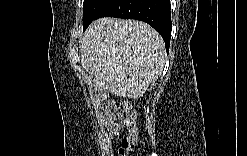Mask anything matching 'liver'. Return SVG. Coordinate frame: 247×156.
Segmentation results:
<instances>
[{
  "mask_svg": "<svg viewBox=\"0 0 247 156\" xmlns=\"http://www.w3.org/2000/svg\"><path fill=\"white\" fill-rule=\"evenodd\" d=\"M81 64L97 91L138 99L162 74L166 51L160 34L144 22L101 18L80 41Z\"/></svg>",
  "mask_w": 247,
  "mask_h": 156,
  "instance_id": "obj_1",
  "label": "liver"
}]
</instances>
